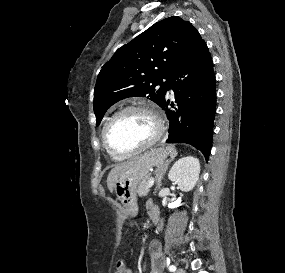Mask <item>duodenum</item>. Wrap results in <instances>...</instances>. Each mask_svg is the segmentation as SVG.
Listing matches in <instances>:
<instances>
[{
  "mask_svg": "<svg viewBox=\"0 0 285 273\" xmlns=\"http://www.w3.org/2000/svg\"><path fill=\"white\" fill-rule=\"evenodd\" d=\"M150 217L154 225L158 224V214L156 210H151Z\"/></svg>",
  "mask_w": 285,
  "mask_h": 273,
  "instance_id": "obj_1",
  "label": "duodenum"
}]
</instances>
